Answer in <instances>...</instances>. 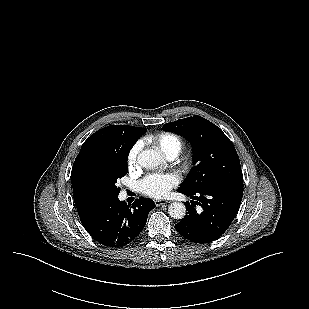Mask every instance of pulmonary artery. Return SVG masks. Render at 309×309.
Wrapping results in <instances>:
<instances>
[{"label":"pulmonary artery","mask_w":309,"mask_h":309,"mask_svg":"<svg viewBox=\"0 0 309 309\" xmlns=\"http://www.w3.org/2000/svg\"><path fill=\"white\" fill-rule=\"evenodd\" d=\"M175 157H176V155H169V156H168V158H169L170 160L174 159Z\"/></svg>","instance_id":"obj_1"}]
</instances>
